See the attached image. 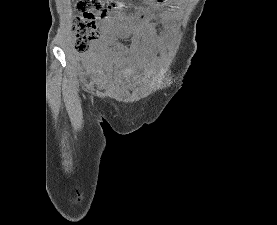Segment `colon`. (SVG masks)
<instances>
[{"label": "colon", "mask_w": 277, "mask_h": 225, "mask_svg": "<svg viewBox=\"0 0 277 225\" xmlns=\"http://www.w3.org/2000/svg\"><path fill=\"white\" fill-rule=\"evenodd\" d=\"M74 6L77 11L72 21L74 48L79 53H86L99 37L95 17L108 16L111 11L119 9V5L115 0H75Z\"/></svg>", "instance_id": "1"}]
</instances>
